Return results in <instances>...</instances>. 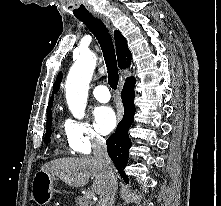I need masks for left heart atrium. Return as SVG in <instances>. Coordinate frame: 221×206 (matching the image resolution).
I'll return each instance as SVG.
<instances>
[{
	"label": "left heart atrium",
	"mask_w": 221,
	"mask_h": 206,
	"mask_svg": "<svg viewBox=\"0 0 221 206\" xmlns=\"http://www.w3.org/2000/svg\"><path fill=\"white\" fill-rule=\"evenodd\" d=\"M94 118L100 133L109 134L116 126L117 118L114 110L109 106H99L94 110Z\"/></svg>",
	"instance_id": "1"
}]
</instances>
